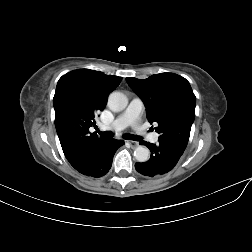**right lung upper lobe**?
<instances>
[{"mask_svg":"<svg viewBox=\"0 0 252 252\" xmlns=\"http://www.w3.org/2000/svg\"><path fill=\"white\" fill-rule=\"evenodd\" d=\"M121 79L90 69L74 70L59 79L53 98L55 127L70 163L106 139L90 133L89 128L96 126L95 115L104 109L108 95Z\"/></svg>","mask_w":252,"mask_h":252,"instance_id":"cb5924a9","label":"right lung upper lobe"}]
</instances>
